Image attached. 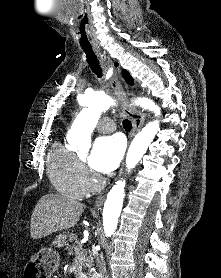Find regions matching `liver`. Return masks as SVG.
Masks as SVG:
<instances>
[{
    "instance_id": "liver-1",
    "label": "liver",
    "mask_w": 221,
    "mask_h": 278,
    "mask_svg": "<svg viewBox=\"0 0 221 278\" xmlns=\"http://www.w3.org/2000/svg\"><path fill=\"white\" fill-rule=\"evenodd\" d=\"M84 209V204L70 197L59 194L43 195L31 215V238L41 239L73 227Z\"/></svg>"
}]
</instances>
